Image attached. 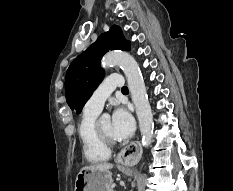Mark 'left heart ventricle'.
<instances>
[{
  "label": "left heart ventricle",
  "instance_id": "left-heart-ventricle-1",
  "mask_svg": "<svg viewBox=\"0 0 233 191\" xmlns=\"http://www.w3.org/2000/svg\"><path fill=\"white\" fill-rule=\"evenodd\" d=\"M101 130L108 136L112 137V128H111V121L110 120H103L100 123Z\"/></svg>",
  "mask_w": 233,
  "mask_h": 191
}]
</instances>
